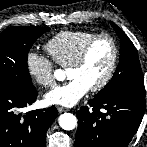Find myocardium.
<instances>
[{
	"label": "myocardium",
	"instance_id": "f54148a6",
	"mask_svg": "<svg viewBox=\"0 0 147 147\" xmlns=\"http://www.w3.org/2000/svg\"><path fill=\"white\" fill-rule=\"evenodd\" d=\"M100 39H107L110 41L112 45L113 54H112V60L108 68V71L106 72L105 76L102 78V80L99 83H97L96 85L90 88L92 92H98L103 90L111 82L115 74L118 61H119V46L116 39L109 33L95 34L91 39H89L85 43V45L82 47V49L80 50L75 60L68 66V69L81 67L86 61L87 56L91 48L93 47V45Z\"/></svg>",
	"mask_w": 147,
	"mask_h": 147
}]
</instances>
